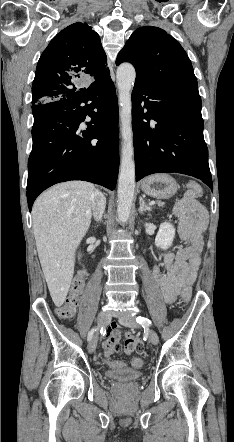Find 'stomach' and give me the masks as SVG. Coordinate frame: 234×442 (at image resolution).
Instances as JSON below:
<instances>
[{
  "mask_svg": "<svg viewBox=\"0 0 234 442\" xmlns=\"http://www.w3.org/2000/svg\"><path fill=\"white\" fill-rule=\"evenodd\" d=\"M142 191L157 199H169L178 189L175 179L168 174H154L146 177L141 183Z\"/></svg>",
  "mask_w": 234,
  "mask_h": 442,
  "instance_id": "1",
  "label": "stomach"
}]
</instances>
